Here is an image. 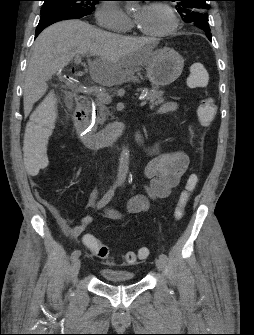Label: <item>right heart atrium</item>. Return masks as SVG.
Wrapping results in <instances>:
<instances>
[{"instance_id": "d8ad5b80", "label": "right heart atrium", "mask_w": 254, "mask_h": 335, "mask_svg": "<svg viewBox=\"0 0 254 335\" xmlns=\"http://www.w3.org/2000/svg\"><path fill=\"white\" fill-rule=\"evenodd\" d=\"M96 21L99 26L117 32H128L132 28L130 18L117 3L111 1L98 7Z\"/></svg>"}]
</instances>
